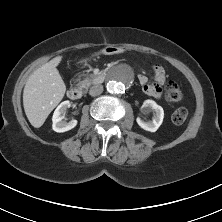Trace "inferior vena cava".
I'll return each instance as SVG.
<instances>
[{
  "mask_svg": "<svg viewBox=\"0 0 222 222\" xmlns=\"http://www.w3.org/2000/svg\"><path fill=\"white\" fill-rule=\"evenodd\" d=\"M103 92V86L100 84L97 85H93L90 90H89V94L91 96H98Z\"/></svg>",
  "mask_w": 222,
  "mask_h": 222,
  "instance_id": "obj_1",
  "label": "inferior vena cava"
}]
</instances>
